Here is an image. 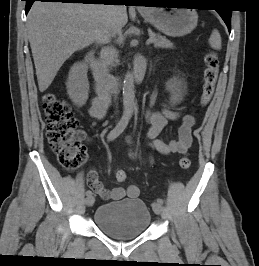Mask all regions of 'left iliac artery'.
I'll list each match as a JSON object with an SVG mask.
<instances>
[{
	"instance_id": "1",
	"label": "left iliac artery",
	"mask_w": 259,
	"mask_h": 266,
	"mask_svg": "<svg viewBox=\"0 0 259 266\" xmlns=\"http://www.w3.org/2000/svg\"><path fill=\"white\" fill-rule=\"evenodd\" d=\"M157 202L160 203V204H163V200L162 199H157Z\"/></svg>"
}]
</instances>
